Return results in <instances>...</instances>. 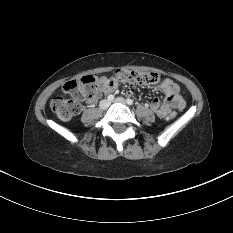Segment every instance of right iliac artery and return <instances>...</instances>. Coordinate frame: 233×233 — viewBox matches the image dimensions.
<instances>
[{
    "instance_id": "obj_1",
    "label": "right iliac artery",
    "mask_w": 233,
    "mask_h": 233,
    "mask_svg": "<svg viewBox=\"0 0 233 233\" xmlns=\"http://www.w3.org/2000/svg\"><path fill=\"white\" fill-rule=\"evenodd\" d=\"M113 99H114V95H109V96H108V100H109V101H112Z\"/></svg>"
}]
</instances>
